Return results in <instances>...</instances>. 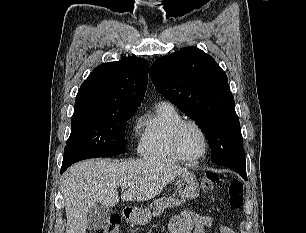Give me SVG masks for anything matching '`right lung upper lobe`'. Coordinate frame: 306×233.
<instances>
[{
	"label": "right lung upper lobe",
	"mask_w": 306,
	"mask_h": 233,
	"mask_svg": "<svg viewBox=\"0 0 306 233\" xmlns=\"http://www.w3.org/2000/svg\"><path fill=\"white\" fill-rule=\"evenodd\" d=\"M148 63L137 57L97 66L78 90L75 107L137 110L147 87Z\"/></svg>",
	"instance_id": "right-lung-upper-lobe-1"
}]
</instances>
